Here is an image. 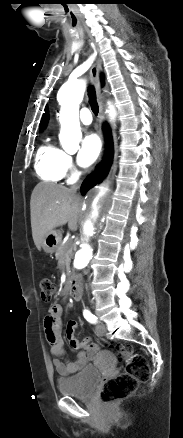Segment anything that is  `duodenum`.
I'll use <instances>...</instances> for the list:
<instances>
[{
	"mask_svg": "<svg viewBox=\"0 0 183 438\" xmlns=\"http://www.w3.org/2000/svg\"><path fill=\"white\" fill-rule=\"evenodd\" d=\"M68 290H69L70 296L74 300L80 299V297H81V284H80L79 278L74 277L70 280Z\"/></svg>",
	"mask_w": 183,
	"mask_h": 438,
	"instance_id": "duodenum-1",
	"label": "duodenum"
}]
</instances>
